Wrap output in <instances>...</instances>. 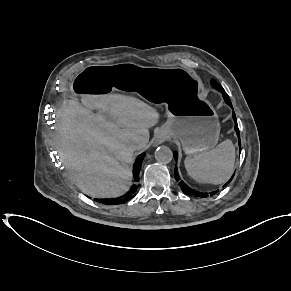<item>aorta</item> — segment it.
<instances>
[{
  "label": "aorta",
  "mask_w": 291,
  "mask_h": 291,
  "mask_svg": "<svg viewBox=\"0 0 291 291\" xmlns=\"http://www.w3.org/2000/svg\"><path fill=\"white\" fill-rule=\"evenodd\" d=\"M172 158H173V153L171 149L167 146H161L157 148V150L155 151V159L159 163L167 164L171 162Z\"/></svg>",
  "instance_id": "762f6f07"
}]
</instances>
